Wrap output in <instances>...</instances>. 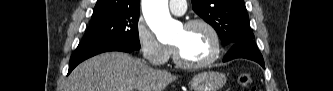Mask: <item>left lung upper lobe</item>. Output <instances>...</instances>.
<instances>
[{"instance_id": "5c2ea615", "label": "left lung upper lobe", "mask_w": 333, "mask_h": 91, "mask_svg": "<svg viewBox=\"0 0 333 91\" xmlns=\"http://www.w3.org/2000/svg\"><path fill=\"white\" fill-rule=\"evenodd\" d=\"M193 10L217 31L222 44L253 40L243 0H191Z\"/></svg>"}]
</instances>
